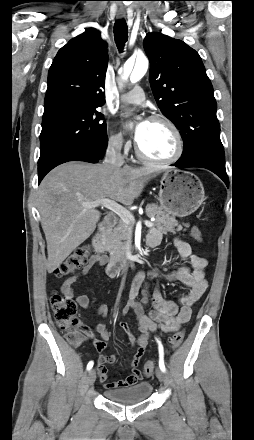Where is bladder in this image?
<instances>
[{"instance_id":"obj_1","label":"bladder","mask_w":254,"mask_h":440,"mask_svg":"<svg viewBox=\"0 0 254 440\" xmlns=\"http://www.w3.org/2000/svg\"><path fill=\"white\" fill-rule=\"evenodd\" d=\"M152 391V384L147 381H142L127 387L106 390L104 394L112 401L137 403L145 401L151 395Z\"/></svg>"}]
</instances>
